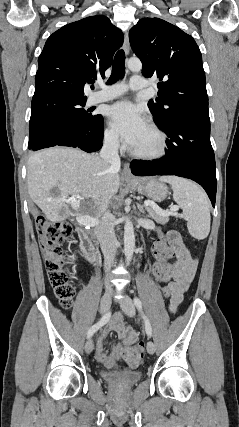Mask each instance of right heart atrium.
<instances>
[{"label": "right heart atrium", "instance_id": "right-heart-atrium-1", "mask_svg": "<svg viewBox=\"0 0 239 427\" xmlns=\"http://www.w3.org/2000/svg\"><path fill=\"white\" fill-rule=\"evenodd\" d=\"M103 141L105 146L110 150H118L120 148V140L111 128H106L103 133Z\"/></svg>", "mask_w": 239, "mask_h": 427}]
</instances>
